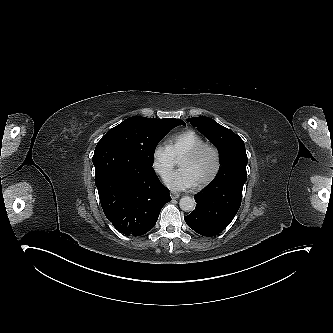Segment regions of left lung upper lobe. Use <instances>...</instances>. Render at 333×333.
Listing matches in <instances>:
<instances>
[{
	"label": "left lung upper lobe",
	"instance_id": "obj_1",
	"mask_svg": "<svg viewBox=\"0 0 333 333\" xmlns=\"http://www.w3.org/2000/svg\"><path fill=\"white\" fill-rule=\"evenodd\" d=\"M190 123L197 127L216 145L222 162L214 180H220L224 184H231L247 179L246 165L248 162L243 140L232 130L218 124L208 117L188 118Z\"/></svg>",
	"mask_w": 333,
	"mask_h": 333
}]
</instances>
